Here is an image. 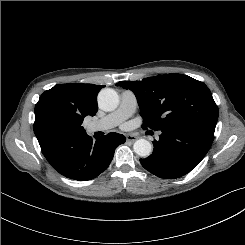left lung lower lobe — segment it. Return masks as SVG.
I'll list each match as a JSON object with an SVG mask.
<instances>
[{
	"mask_svg": "<svg viewBox=\"0 0 245 245\" xmlns=\"http://www.w3.org/2000/svg\"><path fill=\"white\" fill-rule=\"evenodd\" d=\"M153 153L140 159L142 166L160 178H179L193 170L209 151L214 133L192 127L161 129Z\"/></svg>",
	"mask_w": 245,
	"mask_h": 245,
	"instance_id": "left-lung-lower-lobe-1",
	"label": "left lung lower lobe"
}]
</instances>
